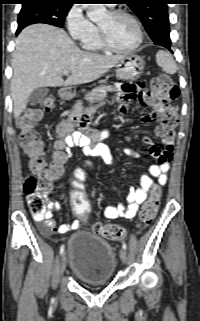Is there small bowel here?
<instances>
[{
	"label": "small bowel",
	"instance_id": "c3829d8e",
	"mask_svg": "<svg viewBox=\"0 0 200 321\" xmlns=\"http://www.w3.org/2000/svg\"><path fill=\"white\" fill-rule=\"evenodd\" d=\"M147 83L139 82H122L120 85L114 86L112 91L116 93L118 99H116V104H121V102H130L134 96H142L144 94L143 90H147ZM124 110L127 109V104L123 105ZM79 108H76L78 111ZM166 116L165 108L161 104H153V112L148 115H142L141 120L144 123H151L154 120H160L161 126L156 129V134L159 137L162 136V122ZM60 138L55 144V151L53 159L57 160L61 166V174L56 179L58 180L63 172V164L67 159V152L65 147H79L82 149L83 153L87 156H96L102 158H109V152L102 145V141L106 139L110 131L104 129L101 131L88 129L86 131H71V125L62 126L60 128ZM144 143L149 146L150 155L157 160L156 163L150 165L148 174H143L140 177V182L138 187H130L127 194L126 204H116L109 205L104 209V216L107 219H133L139 206L147 199L148 195L153 190V179L156 178L158 183L164 185L167 182V173L169 171V162L171 158L168 157V150L173 151V140H167L163 138L165 145L164 149H161L156 145L150 138L144 137ZM124 153L133 158H138L139 153L126 148ZM83 173L82 171H77V173ZM84 175V173H83ZM77 177V176H76ZM78 180V178H77ZM60 206L58 201H47V207L49 210L58 209ZM37 221L42 222L41 231L44 234L51 235L54 233L65 234L71 230H76L79 228L80 223L78 221H73L71 223L62 224L56 226L55 221L52 218V214L48 211L45 216L36 218Z\"/></svg>",
	"mask_w": 200,
	"mask_h": 321
}]
</instances>
